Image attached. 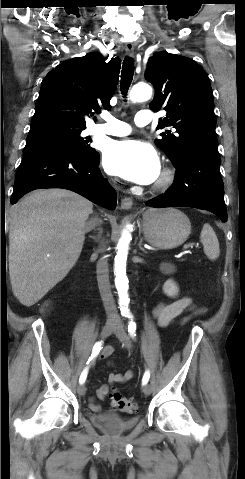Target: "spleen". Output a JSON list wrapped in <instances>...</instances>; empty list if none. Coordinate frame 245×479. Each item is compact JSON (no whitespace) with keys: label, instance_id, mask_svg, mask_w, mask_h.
Instances as JSON below:
<instances>
[{"label":"spleen","instance_id":"spleen-1","mask_svg":"<svg viewBox=\"0 0 245 479\" xmlns=\"http://www.w3.org/2000/svg\"><path fill=\"white\" fill-rule=\"evenodd\" d=\"M200 240L204 246V253L206 256L210 260H216L220 255L219 242L210 224L205 223L203 225Z\"/></svg>","mask_w":245,"mask_h":479}]
</instances>
